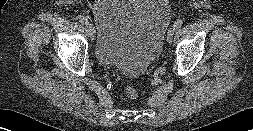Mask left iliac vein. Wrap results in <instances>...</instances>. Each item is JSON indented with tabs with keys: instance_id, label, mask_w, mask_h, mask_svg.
<instances>
[{
	"instance_id": "1",
	"label": "left iliac vein",
	"mask_w": 253,
	"mask_h": 131,
	"mask_svg": "<svg viewBox=\"0 0 253 131\" xmlns=\"http://www.w3.org/2000/svg\"><path fill=\"white\" fill-rule=\"evenodd\" d=\"M176 28L174 26H172L168 32H167V41L170 43L173 39V36L175 34Z\"/></svg>"
}]
</instances>
